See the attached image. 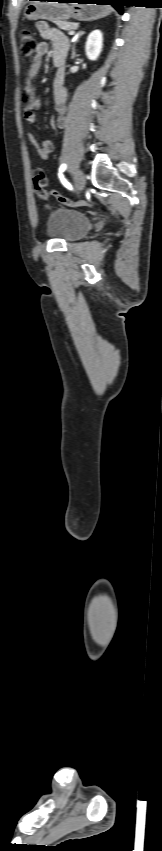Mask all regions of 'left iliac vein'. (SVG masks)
Instances as JSON below:
<instances>
[{"instance_id": "4c4485c4", "label": "left iliac vein", "mask_w": 162, "mask_h": 851, "mask_svg": "<svg viewBox=\"0 0 162 851\" xmlns=\"http://www.w3.org/2000/svg\"><path fill=\"white\" fill-rule=\"evenodd\" d=\"M75 183H76V188L79 191L84 189L85 184H86V179H85L84 173L81 170H77L75 172Z\"/></svg>"}]
</instances>
